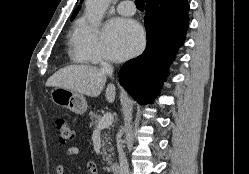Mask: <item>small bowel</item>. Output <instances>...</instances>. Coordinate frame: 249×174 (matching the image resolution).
<instances>
[{"instance_id":"1","label":"small bowel","mask_w":249,"mask_h":174,"mask_svg":"<svg viewBox=\"0 0 249 174\" xmlns=\"http://www.w3.org/2000/svg\"><path fill=\"white\" fill-rule=\"evenodd\" d=\"M81 150L78 147H70L67 150V155L70 157H75L80 155ZM85 171L86 174H98V169L96 163L89 159H85ZM56 174H65V168L62 165L56 167Z\"/></svg>"}]
</instances>
